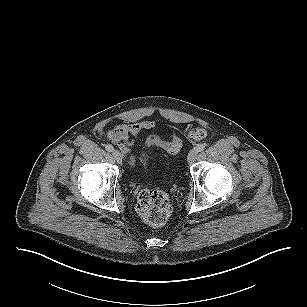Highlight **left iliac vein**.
I'll list each match as a JSON object with an SVG mask.
<instances>
[{"label": "left iliac vein", "mask_w": 307, "mask_h": 307, "mask_svg": "<svg viewBox=\"0 0 307 307\" xmlns=\"http://www.w3.org/2000/svg\"><path fill=\"white\" fill-rule=\"evenodd\" d=\"M197 154H198V151H197V149H191L190 151H189V153H188V157H187V160H188V163L189 164H192L194 161H195V159H196V157H197Z\"/></svg>", "instance_id": "obj_1"}]
</instances>
